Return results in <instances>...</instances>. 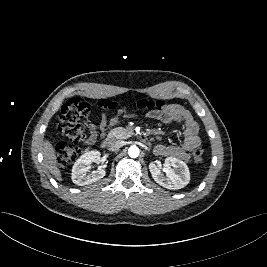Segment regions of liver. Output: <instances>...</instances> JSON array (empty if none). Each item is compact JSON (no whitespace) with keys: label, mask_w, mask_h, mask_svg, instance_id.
<instances>
[{"label":"liver","mask_w":267,"mask_h":267,"mask_svg":"<svg viewBox=\"0 0 267 267\" xmlns=\"http://www.w3.org/2000/svg\"><path fill=\"white\" fill-rule=\"evenodd\" d=\"M43 156L46 168L58 181H62L61 172L57 167L55 150L48 140L43 143Z\"/></svg>","instance_id":"6515ba94"}]
</instances>
